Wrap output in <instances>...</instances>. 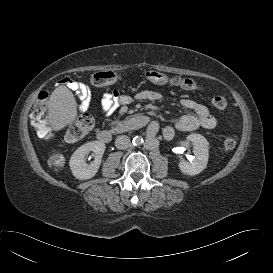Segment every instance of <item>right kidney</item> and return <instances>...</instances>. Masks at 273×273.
I'll return each mask as SVG.
<instances>
[{"label":"right kidney","instance_id":"1","mask_svg":"<svg viewBox=\"0 0 273 273\" xmlns=\"http://www.w3.org/2000/svg\"><path fill=\"white\" fill-rule=\"evenodd\" d=\"M105 148V144L101 141H92L80 146L72 154L69 162L74 177L79 180H87L94 177L100 167ZM90 152H93L94 161L87 164L85 157Z\"/></svg>","mask_w":273,"mask_h":273}]
</instances>
